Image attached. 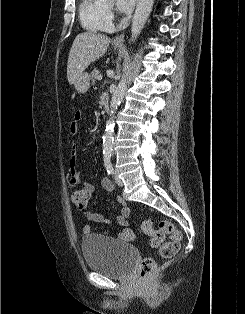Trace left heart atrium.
<instances>
[{
    "label": "left heart atrium",
    "mask_w": 245,
    "mask_h": 314,
    "mask_svg": "<svg viewBox=\"0 0 245 314\" xmlns=\"http://www.w3.org/2000/svg\"><path fill=\"white\" fill-rule=\"evenodd\" d=\"M135 1L136 0H116V7L119 11L128 13L133 9Z\"/></svg>",
    "instance_id": "left-heart-atrium-1"
}]
</instances>
